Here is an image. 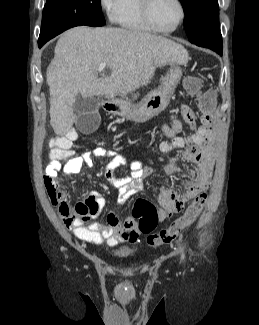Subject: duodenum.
<instances>
[{"mask_svg": "<svg viewBox=\"0 0 259 325\" xmlns=\"http://www.w3.org/2000/svg\"><path fill=\"white\" fill-rule=\"evenodd\" d=\"M101 106L105 109V110H110L112 107V104L107 102V101H102L101 102Z\"/></svg>", "mask_w": 259, "mask_h": 325, "instance_id": "obj_1", "label": "duodenum"}]
</instances>
